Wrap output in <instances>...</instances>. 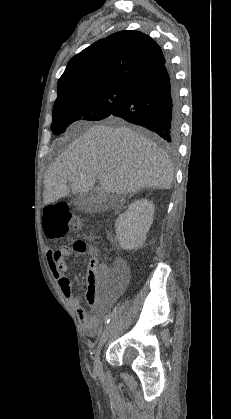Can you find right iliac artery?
I'll list each match as a JSON object with an SVG mask.
<instances>
[{
  "mask_svg": "<svg viewBox=\"0 0 231 419\" xmlns=\"http://www.w3.org/2000/svg\"><path fill=\"white\" fill-rule=\"evenodd\" d=\"M110 322V316L105 317V324H108Z\"/></svg>",
  "mask_w": 231,
  "mask_h": 419,
  "instance_id": "right-iliac-artery-1",
  "label": "right iliac artery"
}]
</instances>
